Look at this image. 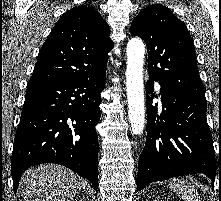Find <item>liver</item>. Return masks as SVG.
<instances>
[{
	"mask_svg": "<svg viewBox=\"0 0 221 201\" xmlns=\"http://www.w3.org/2000/svg\"><path fill=\"white\" fill-rule=\"evenodd\" d=\"M20 184L22 201H68L86 182L61 165L42 164L29 168Z\"/></svg>",
	"mask_w": 221,
	"mask_h": 201,
	"instance_id": "1",
	"label": "liver"
}]
</instances>
